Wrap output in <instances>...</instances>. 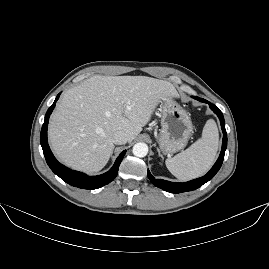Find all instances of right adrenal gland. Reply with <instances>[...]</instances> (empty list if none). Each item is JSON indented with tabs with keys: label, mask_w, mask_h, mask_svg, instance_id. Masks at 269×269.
Here are the masks:
<instances>
[{
	"label": "right adrenal gland",
	"mask_w": 269,
	"mask_h": 269,
	"mask_svg": "<svg viewBox=\"0 0 269 269\" xmlns=\"http://www.w3.org/2000/svg\"><path fill=\"white\" fill-rule=\"evenodd\" d=\"M114 148H115V146H113V148H112V152H111V155L113 154Z\"/></svg>",
	"instance_id": "right-adrenal-gland-1"
}]
</instances>
